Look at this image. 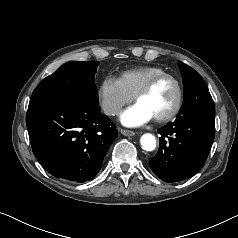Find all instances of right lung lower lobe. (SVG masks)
I'll return each instance as SVG.
<instances>
[{"label": "right lung lower lobe", "instance_id": "right-lung-lower-lobe-1", "mask_svg": "<svg viewBox=\"0 0 238 238\" xmlns=\"http://www.w3.org/2000/svg\"><path fill=\"white\" fill-rule=\"evenodd\" d=\"M26 125L36 159L53 176L78 183L99 172L117 137L97 103L78 95L32 96Z\"/></svg>", "mask_w": 238, "mask_h": 238}]
</instances>
